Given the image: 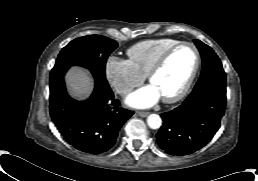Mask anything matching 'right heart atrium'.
<instances>
[{"label": "right heart atrium", "instance_id": "1", "mask_svg": "<svg viewBox=\"0 0 258 181\" xmlns=\"http://www.w3.org/2000/svg\"><path fill=\"white\" fill-rule=\"evenodd\" d=\"M105 74L113 89L120 95L129 94L142 84L145 76L137 72L128 60L111 56L105 64Z\"/></svg>", "mask_w": 258, "mask_h": 181}]
</instances>
